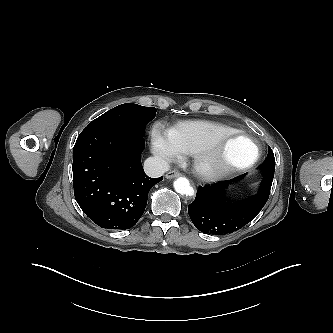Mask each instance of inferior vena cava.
<instances>
[{"mask_svg": "<svg viewBox=\"0 0 333 333\" xmlns=\"http://www.w3.org/2000/svg\"><path fill=\"white\" fill-rule=\"evenodd\" d=\"M144 171L152 178H157L162 176L170 168L169 163L157 156L149 157L144 161Z\"/></svg>", "mask_w": 333, "mask_h": 333, "instance_id": "inferior-vena-cava-1", "label": "inferior vena cava"}]
</instances>
